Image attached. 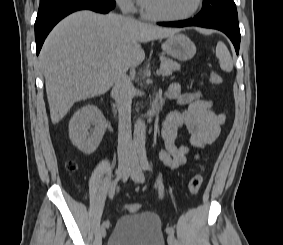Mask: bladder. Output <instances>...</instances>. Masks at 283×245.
I'll return each instance as SVG.
<instances>
[{
  "mask_svg": "<svg viewBox=\"0 0 283 245\" xmlns=\"http://www.w3.org/2000/svg\"><path fill=\"white\" fill-rule=\"evenodd\" d=\"M107 245H165L161 220L151 211H137L121 216Z\"/></svg>",
  "mask_w": 283,
  "mask_h": 245,
  "instance_id": "1",
  "label": "bladder"
}]
</instances>
